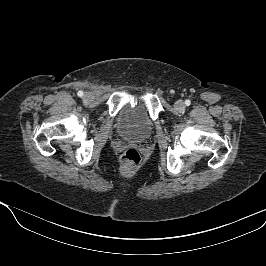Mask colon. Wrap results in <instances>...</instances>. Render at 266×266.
Listing matches in <instances>:
<instances>
[{
	"label": "colon",
	"mask_w": 266,
	"mask_h": 266,
	"mask_svg": "<svg viewBox=\"0 0 266 266\" xmlns=\"http://www.w3.org/2000/svg\"><path fill=\"white\" fill-rule=\"evenodd\" d=\"M121 162L127 167H136L141 162V156L136 149L130 148L123 153Z\"/></svg>",
	"instance_id": "colon-1"
}]
</instances>
